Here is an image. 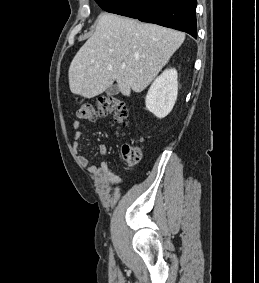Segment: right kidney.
I'll return each mask as SVG.
<instances>
[{"label":"right kidney","instance_id":"obj_1","mask_svg":"<svg viewBox=\"0 0 259 283\" xmlns=\"http://www.w3.org/2000/svg\"><path fill=\"white\" fill-rule=\"evenodd\" d=\"M176 69H167L152 83L146 98V109L157 118L166 117L177 99L178 82Z\"/></svg>","mask_w":259,"mask_h":283}]
</instances>
